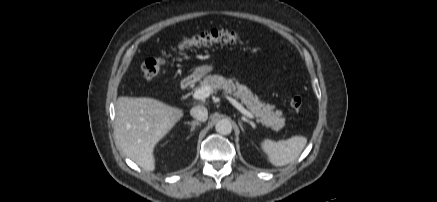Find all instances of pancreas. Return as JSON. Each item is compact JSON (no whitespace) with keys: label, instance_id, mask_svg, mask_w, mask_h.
<instances>
[{"label":"pancreas","instance_id":"cf45deb5","mask_svg":"<svg viewBox=\"0 0 437 202\" xmlns=\"http://www.w3.org/2000/svg\"><path fill=\"white\" fill-rule=\"evenodd\" d=\"M201 87H209L211 92L223 90L224 93L233 95L246 105L247 109L259 118V121L266 127H271L279 131L285 125V119L282 118V111L276 110L274 105L262 103L257 95L243 84L233 82L232 79H226L221 75H208L200 82Z\"/></svg>","mask_w":437,"mask_h":202}]
</instances>
